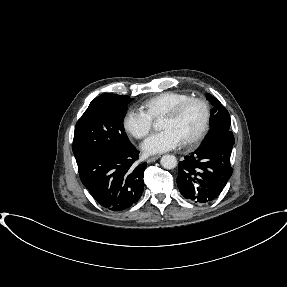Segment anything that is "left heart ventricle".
<instances>
[{
    "label": "left heart ventricle",
    "instance_id": "left-heart-ventricle-1",
    "mask_svg": "<svg viewBox=\"0 0 287 287\" xmlns=\"http://www.w3.org/2000/svg\"><path fill=\"white\" fill-rule=\"evenodd\" d=\"M201 119V107L196 103H190L176 118L163 117L160 122V127L162 129L171 128L175 130L182 141H185L197 131Z\"/></svg>",
    "mask_w": 287,
    "mask_h": 287
}]
</instances>
